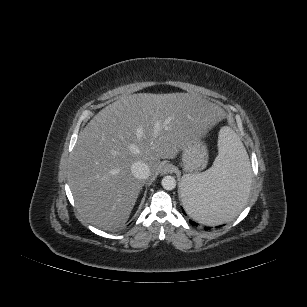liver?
Here are the masks:
<instances>
[{
    "label": "liver",
    "instance_id": "6515ba94",
    "mask_svg": "<svg viewBox=\"0 0 307 307\" xmlns=\"http://www.w3.org/2000/svg\"><path fill=\"white\" fill-rule=\"evenodd\" d=\"M225 113L187 93L133 94L102 109L70 156L69 186L80 214L106 231L122 227L144 185L131 165L143 161L157 174L161 159L175 158L190 137L206 134Z\"/></svg>",
    "mask_w": 307,
    "mask_h": 307
}]
</instances>
